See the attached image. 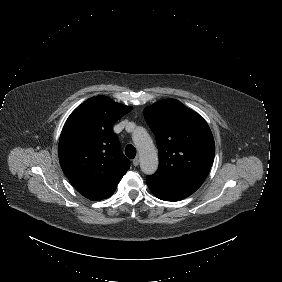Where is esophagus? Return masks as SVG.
<instances>
[{
	"mask_svg": "<svg viewBox=\"0 0 282 282\" xmlns=\"http://www.w3.org/2000/svg\"><path fill=\"white\" fill-rule=\"evenodd\" d=\"M132 163H133V166H134V167H137V166L139 165V159H138V157L135 158Z\"/></svg>",
	"mask_w": 282,
	"mask_h": 282,
	"instance_id": "1",
	"label": "esophagus"
}]
</instances>
